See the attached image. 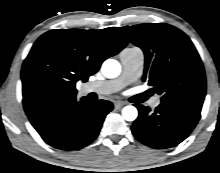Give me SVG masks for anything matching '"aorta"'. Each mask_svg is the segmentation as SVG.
<instances>
[{"label":"aorta","mask_w":220,"mask_h":173,"mask_svg":"<svg viewBox=\"0 0 220 173\" xmlns=\"http://www.w3.org/2000/svg\"><path fill=\"white\" fill-rule=\"evenodd\" d=\"M101 71L106 78H116L121 72V66L117 60L107 59L102 64ZM122 116L126 121H134L138 116V111L134 106H125Z\"/></svg>","instance_id":"obj_1"}]
</instances>
